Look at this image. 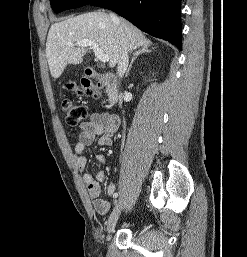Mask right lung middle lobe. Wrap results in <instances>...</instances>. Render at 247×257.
Returning a JSON list of instances; mask_svg holds the SVG:
<instances>
[{"mask_svg": "<svg viewBox=\"0 0 247 257\" xmlns=\"http://www.w3.org/2000/svg\"><path fill=\"white\" fill-rule=\"evenodd\" d=\"M94 0H50L51 7L54 12L59 13L61 11L81 7L90 4Z\"/></svg>", "mask_w": 247, "mask_h": 257, "instance_id": "dd1d6c3e", "label": "right lung middle lobe"}]
</instances>
